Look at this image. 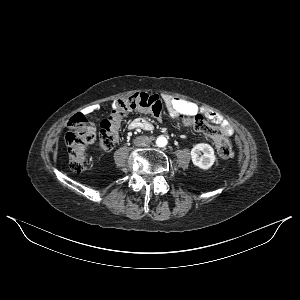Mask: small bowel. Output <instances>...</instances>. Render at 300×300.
<instances>
[{"label": "small bowel", "mask_w": 300, "mask_h": 300, "mask_svg": "<svg viewBox=\"0 0 300 300\" xmlns=\"http://www.w3.org/2000/svg\"><path fill=\"white\" fill-rule=\"evenodd\" d=\"M164 102L171 118H176L180 114L196 115L200 113L204 114L212 123L216 124L224 135L230 136L234 132L233 127L226 120L209 108L173 96H165ZM93 111L94 108L88 107L83 110L82 115H90ZM129 127L132 129L151 130L152 124L147 119L139 117L132 120Z\"/></svg>", "instance_id": "c3829d8e"}]
</instances>
